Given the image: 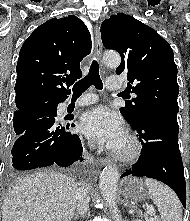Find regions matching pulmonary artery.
Wrapping results in <instances>:
<instances>
[{"label": "pulmonary artery", "instance_id": "1", "mask_svg": "<svg viewBox=\"0 0 190 221\" xmlns=\"http://www.w3.org/2000/svg\"><path fill=\"white\" fill-rule=\"evenodd\" d=\"M106 87L109 90L116 91L122 88V82L118 77H109L106 81ZM96 101V97L94 95H86L78 99L74 105L76 107H83L90 105ZM67 106L70 105V102L66 104Z\"/></svg>", "mask_w": 190, "mask_h": 221}]
</instances>
